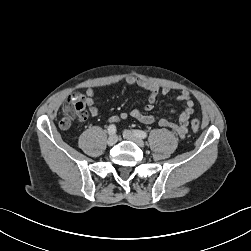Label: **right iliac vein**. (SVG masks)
<instances>
[{
	"instance_id": "right-iliac-vein-1",
	"label": "right iliac vein",
	"mask_w": 251,
	"mask_h": 251,
	"mask_svg": "<svg viewBox=\"0 0 251 251\" xmlns=\"http://www.w3.org/2000/svg\"><path fill=\"white\" fill-rule=\"evenodd\" d=\"M117 141H118L117 135L113 134V135H111V136L108 138L107 143H108L109 146H112V145L116 144Z\"/></svg>"
}]
</instances>
